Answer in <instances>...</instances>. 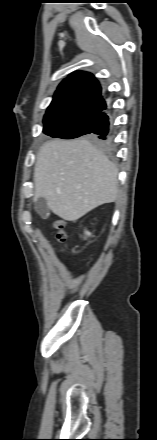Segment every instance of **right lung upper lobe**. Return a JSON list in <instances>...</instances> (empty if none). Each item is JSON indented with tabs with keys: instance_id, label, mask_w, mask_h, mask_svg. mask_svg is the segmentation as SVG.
Masks as SVG:
<instances>
[{
	"instance_id": "1",
	"label": "right lung upper lobe",
	"mask_w": 157,
	"mask_h": 440,
	"mask_svg": "<svg viewBox=\"0 0 157 440\" xmlns=\"http://www.w3.org/2000/svg\"><path fill=\"white\" fill-rule=\"evenodd\" d=\"M106 109L98 81L91 73L78 71L58 86L44 121L77 120L90 127Z\"/></svg>"
}]
</instances>
